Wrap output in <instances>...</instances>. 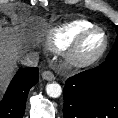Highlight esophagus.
I'll return each instance as SVG.
<instances>
[{
  "mask_svg": "<svg viewBox=\"0 0 118 118\" xmlns=\"http://www.w3.org/2000/svg\"><path fill=\"white\" fill-rule=\"evenodd\" d=\"M42 78L47 81H53L55 79V76L51 71L46 70L42 72Z\"/></svg>",
  "mask_w": 118,
  "mask_h": 118,
  "instance_id": "1",
  "label": "esophagus"
}]
</instances>
